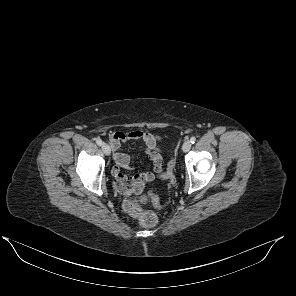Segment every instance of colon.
Here are the masks:
<instances>
[{
    "instance_id": "colon-1",
    "label": "colon",
    "mask_w": 296,
    "mask_h": 296,
    "mask_svg": "<svg viewBox=\"0 0 296 296\" xmlns=\"http://www.w3.org/2000/svg\"><path fill=\"white\" fill-rule=\"evenodd\" d=\"M174 166V160L170 163V169ZM150 199L155 207H161L158 198L150 194L149 196H141L135 200H128L124 204L125 211L135 217L138 222L145 227H153L158 222V217L154 212L143 210L142 205Z\"/></svg>"
}]
</instances>
